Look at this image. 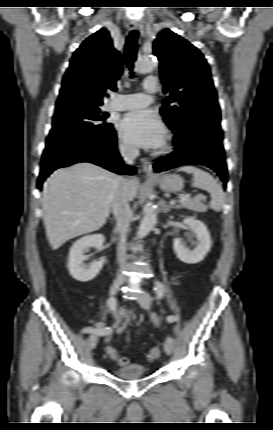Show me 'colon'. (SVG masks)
<instances>
[{
    "label": "colon",
    "mask_w": 273,
    "mask_h": 430,
    "mask_svg": "<svg viewBox=\"0 0 273 430\" xmlns=\"http://www.w3.org/2000/svg\"><path fill=\"white\" fill-rule=\"evenodd\" d=\"M106 351H107V354L110 356V358L113 359L119 366H124L128 363V359L124 356L119 355L115 350V348L109 347L106 349ZM160 354H161L160 347L154 346L148 351L147 357L151 360H155L159 358Z\"/></svg>",
    "instance_id": "colon-1"
}]
</instances>
